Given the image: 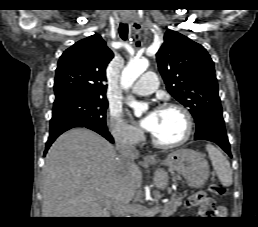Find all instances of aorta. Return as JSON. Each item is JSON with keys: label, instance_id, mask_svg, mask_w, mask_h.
I'll list each match as a JSON object with an SVG mask.
<instances>
[{"label": "aorta", "instance_id": "1", "mask_svg": "<svg viewBox=\"0 0 258 227\" xmlns=\"http://www.w3.org/2000/svg\"><path fill=\"white\" fill-rule=\"evenodd\" d=\"M149 62L146 59L131 60L123 69L120 83L122 88L129 89L139 76L146 71ZM128 105L133 108L134 114L140 116L147 105L129 98Z\"/></svg>", "mask_w": 258, "mask_h": 227}]
</instances>
